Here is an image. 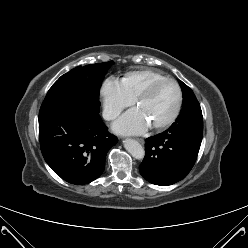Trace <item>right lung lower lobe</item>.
Wrapping results in <instances>:
<instances>
[{
	"mask_svg": "<svg viewBox=\"0 0 248 248\" xmlns=\"http://www.w3.org/2000/svg\"><path fill=\"white\" fill-rule=\"evenodd\" d=\"M99 109V99L81 95L39 115L43 157L69 183L82 185L98 178L108 150L118 141L108 132Z\"/></svg>",
	"mask_w": 248,
	"mask_h": 248,
	"instance_id": "right-lung-lower-lobe-1",
	"label": "right lung lower lobe"
}]
</instances>
